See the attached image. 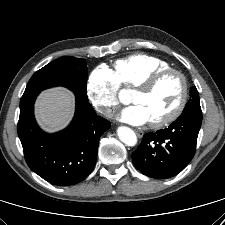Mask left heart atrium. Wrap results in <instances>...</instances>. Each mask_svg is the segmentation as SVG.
<instances>
[{
    "label": "left heart atrium",
    "mask_w": 225,
    "mask_h": 225,
    "mask_svg": "<svg viewBox=\"0 0 225 225\" xmlns=\"http://www.w3.org/2000/svg\"><path fill=\"white\" fill-rule=\"evenodd\" d=\"M123 122L132 125H143L149 122V116L146 110L139 104H132L125 107L118 115Z\"/></svg>",
    "instance_id": "39dd6f15"
}]
</instances>
